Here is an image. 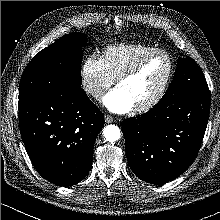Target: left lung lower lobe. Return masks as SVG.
Listing matches in <instances>:
<instances>
[{
	"instance_id": "obj_1",
	"label": "left lung lower lobe",
	"mask_w": 220,
	"mask_h": 220,
	"mask_svg": "<svg viewBox=\"0 0 220 220\" xmlns=\"http://www.w3.org/2000/svg\"><path fill=\"white\" fill-rule=\"evenodd\" d=\"M210 92L154 106L122 124L131 170L151 184L171 181L193 163L206 130Z\"/></svg>"
}]
</instances>
